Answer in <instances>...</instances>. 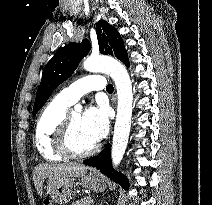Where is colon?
<instances>
[{
    "mask_svg": "<svg viewBox=\"0 0 212 205\" xmlns=\"http://www.w3.org/2000/svg\"><path fill=\"white\" fill-rule=\"evenodd\" d=\"M43 205H52V203H51L49 200H45V201L43 202Z\"/></svg>",
    "mask_w": 212,
    "mask_h": 205,
    "instance_id": "1",
    "label": "colon"
}]
</instances>
